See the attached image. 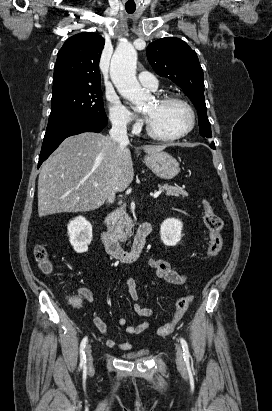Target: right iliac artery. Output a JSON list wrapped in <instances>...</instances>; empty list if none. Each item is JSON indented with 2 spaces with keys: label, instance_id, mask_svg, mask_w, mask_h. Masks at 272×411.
Segmentation results:
<instances>
[{
  "label": "right iliac artery",
  "instance_id": "82829eb1",
  "mask_svg": "<svg viewBox=\"0 0 272 411\" xmlns=\"http://www.w3.org/2000/svg\"><path fill=\"white\" fill-rule=\"evenodd\" d=\"M88 338L87 336L83 338L80 344V366L86 370V355H85V347L87 344Z\"/></svg>",
  "mask_w": 272,
  "mask_h": 411
}]
</instances>
